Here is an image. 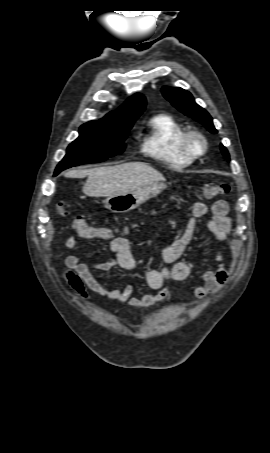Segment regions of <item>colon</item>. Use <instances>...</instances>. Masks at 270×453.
<instances>
[{
    "instance_id": "colon-1",
    "label": "colon",
    "mask_w": 270,
    "mask_h": 453,
    "mask_svg": "<svg viewBox=\"0 0 270 453\" xmlns=\"http://www.w3.org/2000/svg\"><path fill=\"white\" fill-rule=\"evenodd\" d=\"M229 186L226 183L217 182L209 183L202 187V195L206 199H213L219 196L227 194ZM57 210L60 215L67 216L68 211L62 203H59ZM73 226L77 231L78 235L82 238H88L93 235H102L108 237L112 234V231L103 227H96L88 224L82 217H76L73 221Z\"/></svg>"
}]
</instances>
